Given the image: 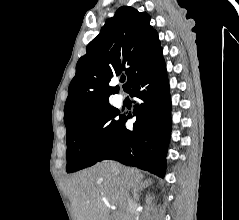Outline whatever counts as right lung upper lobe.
I'll return each mask as SVG.
<instances>
[{
    "label": "right lung upper lobe",
    "mask_w": 239,
    "mask_h": 220,
    "mask_svg": "<svg viewBox=\"0 0 239 220\" xmlns=\"http://www.w3.org/2000/svg\"><path fill=\"white\" fill-rule=\"evenodd\" d=\"M76 65L64 109L68 129L83 115L110 105L108 98L118 87H109L112 77L125 73L127 91L132 82L163 61L157 32L146 12L122 6L109 18L99 35L86 47Z\"/></svg>",
    "instance_id": "1"
}]
</instances>
